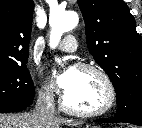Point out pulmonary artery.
Masks as SVG:
<instances>
[{
    "label": "pulmonary artery",
    "mask_w": 142,
    "mask_h": 128,
    "mask_svg": "<svg viewBox=\"0 0 142 128\" xmlns=\"http://www.w3.org/2000/svg\"><path fill=\"white\" fill-rule=\"evenodd\" d=\"M58 50L63 52H74L77 50V40L73 35H67L59 44Z\"/></svg>",
    "instance_id": "pulmonary-artery-1"
}]
</instances>
